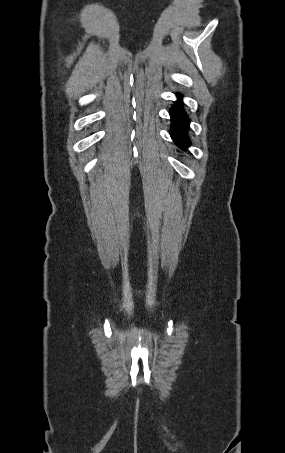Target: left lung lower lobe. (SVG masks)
<instances>
[{
  "label": "left lung lower lobe",
  "instance_id": "left-lung-lower-lobe-1",
  "mask_svg": "<svg viewBox=\"0 0 285 453\" xmlns=\"http://www.w3.org/2000/svg\"><path fill=\"white\" fill-rule=\"evenodd\" d=\"M178 96H181L178 94ZM172 121L170 135L172 139L181 147H186L190 144L186 129L189 126V117L183 110L181 102H176L175 106L170 110Z\"/></svg>",
  "mask_w": 285,
  "mask_h": 453
}]
</instances>
